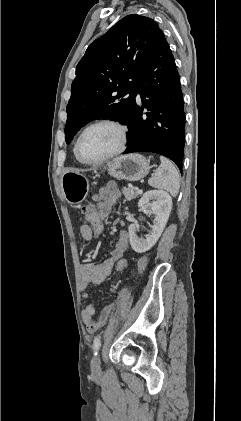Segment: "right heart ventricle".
<instances>
[{
  "instance_id": "right-heart-ventricle-1",
  "label": "right heart ventricle",
  "mask_w": 241,
  "mask_h": 421,
  "mask_svg": "<svg viewBox=\"0 0 241 421\" xmlns=\"http://www.w3.org/2000/svg\"><path fill=\"white\" fill-rule=\"evenodd\" d=\"M74 154H75V156H76V153H75V147H74ZM76 158H77V156H76ZM78 159V158H77Z\"/></svg>"
}]
</instances>
